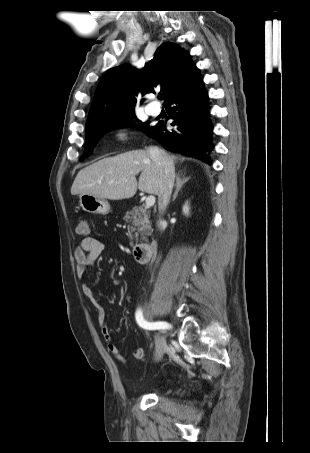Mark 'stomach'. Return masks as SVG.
Listing matches in <instances>:
<instances>
[{"instance_id": "0dacf381", "label": "stomach", "mask_w": 310, "mask_h": 453, "mask_svg": "<svg viewBox=\"0 0 310 453\" xmlns=\"http://www.w3.org/2000/svg\"><path fill=\"white\" fill-rule=\"evenodd\" d=\"M79 199L80 206L88 213L106 215L110 212V204L106 199L89 194H80Z\"/></svg>"}]
</instances>
